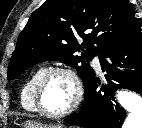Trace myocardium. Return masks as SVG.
Instances as JSON below:
<instances>
[{"mask_svg": "<svg viewBox=\"0 0 142 128\" xmlns=\"http://www.w3.org/2000/svg\"><path fill=\"white\" fill-rule=\"evenodd\" d=\"M55 73H62L70 78L74 88V96L70 106L67 109H65L62 112L51 113L44 110L41 105V91L46 79ZM83 96H84L83 84L76 71L71 67L62 66V65L47 68L37 80L34 89V102H35L36 111L39 112L41 115L52 119L63 118L73 113L81 104Z\"/></svg>", "mask_w": 142, "mask_h": 128, "instance_id": "f54148a6", "label": "myocardium"}]
</instances>
